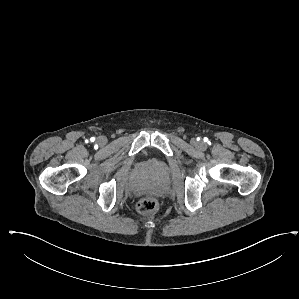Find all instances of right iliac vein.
Segmentation results:
<instances>
[{
	"label": "right iliac vein",
	"mask_w": 299,
	"mask_h": 299,
	"mask_svg": "<svg viewBox=\"0 0 299 299\" xmlns=\"http://www.w3.org/2000/svg\"><path fill=\"white\" fill-rule=\"evenodd\" d=\"M97 143H98L100 146L105 145V144L107 143V139H106V137H104V136H99V137L97 138Z\"/></svg>",
	"instance_id": "obj_1"
}]
</instances>
